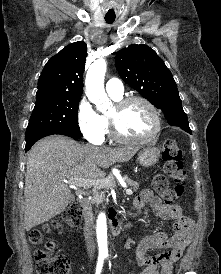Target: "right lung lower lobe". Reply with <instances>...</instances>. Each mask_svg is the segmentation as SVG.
Wrapping results in <instances>:
<instances>
[{"label":"right lung lower lobe","instance_id":"obj_1","mask_svg":"<svg viewBox=\"0 0 221 274\" xmlns=\"http://www.w3.org/2000/svg\"><path fill=\"white\" fill-rule=\"evenodd\" d=\"M54 134H61V135H66V136H69V137H72L74 139H78L79 136H76V135H73V134H70V133H66V132H49V133H45V134H41L39 136H36L30 140H27L26 141V147H25V152L28 151L31 146L39 139L43 138V137H46V136H49V135H54Z\"/></svg>","mask_w":221,"mask_h":274}]
</instances>
